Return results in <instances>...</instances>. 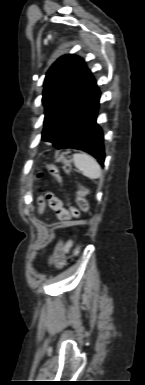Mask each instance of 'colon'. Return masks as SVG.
I'll return each mask as SVG.
<instances>
[{
  "mask_svg": "<svg viewBox=\"0 0 145 385\" xmlns=\"http://www.w3.org/2000/svg\"><path fill=\"white\" fill-rule=\"evenodd\" d=\"M58 161L62 164L63 170L65 171V173L69 174L72 169L71 163H70V155L66 152L61 153L58 156ZM47 171L55 179L58 185L61 187L63 179L58 168L54 165L49 164L47 165ZM87 193H88L87 189L81 185L76 194V203L78 208L72 207V206L69 208L73 216L77 217L79 216L80 212L87 213L89 211V204L86 198ZM80 250H81V244H78L74 251L75 255H77L80 252Z\"/></svg>",
  "mask_w": 145,
  "mask_h": 385,
  "instance_id": "5ec220e1",
  "label": "colon"
}]
</instances>
